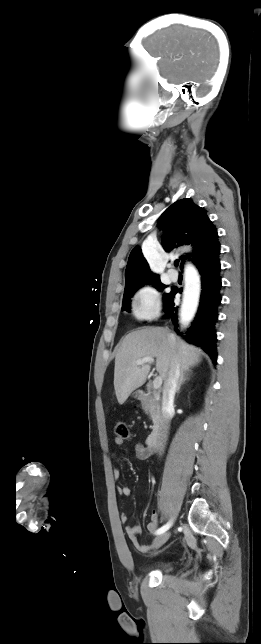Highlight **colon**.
I'll use <instances>...</instances> for the list:
<instances>
[{
  "label": "colon",
  "instance_id": "obj_1",
  "mask_svg": "<svg viewBox=\"0 0 261 644\" xmlns=\"http://www.w3.org/2000/svg\"><path fill=\"white\" fill-rule=\"evenodd\" d=\"M116 437L126 439L129 436L128 426L125 422L119 421L115 426Z\"/></svg>",
  "mask_w": 261,
  "mask_h": 644
}]
</instances>
